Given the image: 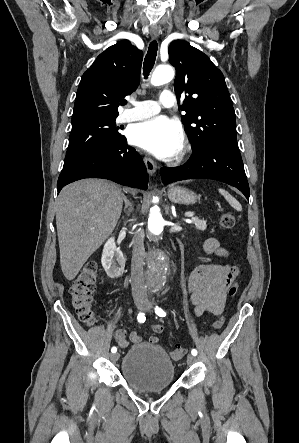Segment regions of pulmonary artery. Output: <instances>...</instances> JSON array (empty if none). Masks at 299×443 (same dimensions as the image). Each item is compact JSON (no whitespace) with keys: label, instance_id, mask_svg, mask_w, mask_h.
Instances as JSON below:
<instances>
[{"label":"pulmonary artery","instance_id":"1","mask_svg":"<svg viewBox=\"0 0 299 443\" xmlns=\"http://www.w3.org/2000/svg\"><path fill=\"white\" fill-rule=\"evenodd\" d=\"M132 108L126 109L119 115L120 122H132L147 119L156 115L161 106L170 108L175 106L176 98L171 91H162L159 99V103L153 100L135 101L131 100Z\"/></svg>","mask_w":299,"mask_h":443}]
</instances>
